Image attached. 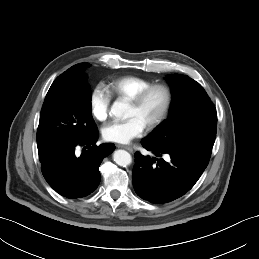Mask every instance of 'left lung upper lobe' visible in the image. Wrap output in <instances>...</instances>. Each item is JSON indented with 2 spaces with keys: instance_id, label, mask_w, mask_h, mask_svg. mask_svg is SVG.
Here are the masks:
<instances>
[{
  "instance_id": "5c2ea615",
  "label": "left lung upper lobe",
  "mask_w": 259,
  "mask_h": 259,
  "mask_svg": "<svg viewBox=\"0 0 259 259\" xmlns=\"http://www.w3.org/2000/svg\"><path fill=\"white\" fill-rule=\"evenodd\" d=\"M167 81L173 94L169 117L145 139L166 148L196 141L214 144L217 113L204 88L180 74L170 75Z\"/></svg>"
}]
</instances>
